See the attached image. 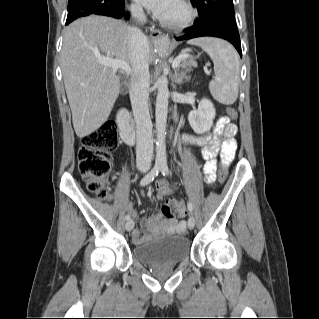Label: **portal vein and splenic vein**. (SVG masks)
I'll use <instances>...</instances> for the list:
<instances>
[{"instance_id": "obj_1", "label": "portal vein and splenic vein", "mask_w": 319, "mask_h": 319, "mask_svg": "<svg viewBox=\"0 0 319 319\" xmlns=\"http://www.w3.org/2000/svg\"><path fill=\"white\" fill-rule=\"evenodd\" d=\"M190 56L188 54H181L179 55L172 64L173 68H176L180 62L183 59L189 58ZM97 62L106 66V67H110L112 69H122L124 71H126L127 73H130V66L127 62L120 60V59H112V58H108V57H99L97 59Z\"/></svg>"}]
</instances>
